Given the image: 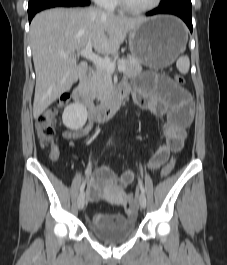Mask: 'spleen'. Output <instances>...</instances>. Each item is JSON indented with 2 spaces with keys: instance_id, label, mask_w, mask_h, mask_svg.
Segmentation results:
<instances>
[{
  "instance_id": "3e777b00",
  "label": "spleen",
  "mask_w": 227,
  "mask_h": 265,
  "mask_svg": "<svg viewBox=\"0 0 227 265\" xmlns=\"http://www.w3.org/2000/svg\"><path fill=\"white\" fill-rule=\"evenodd\" d=\"M177 69L182 74H187L190 67V60L188 56H181L176 62Z\"/></svg>"
}]
</instances>
